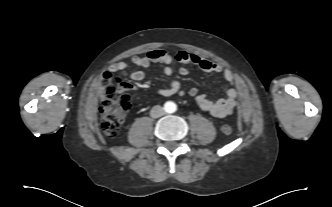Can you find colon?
<instances>
[{"instance_id":"1","label":"colon","mask_w":332,"mask_h":207,"mask_svg":"<svg viewBox=\"0 0 332 207\" xmlns=\"http://www.w3.org/2000/svg\"><path fill=\"white\" fill-rule=\"evenodd\" d=\"M130 87L131 85L120 77H116L111 84L105 86V99L100 107L101 129L109 138L118 135L124 123L125 113L131 107V98L127 92ZM221 130L224 135L232 133L229 125H224Z\"/></svg>"}]
</instances>
